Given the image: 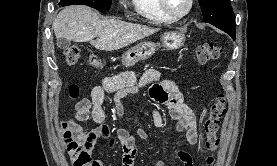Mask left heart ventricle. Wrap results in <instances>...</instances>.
Masks as SVG:
<instances>
[{
  "mask_svg": "<svg viewBox=\"0 0 277 166\" xmlns=\"http://www.w3.org/2000/svg\"><path fill=\"white\" fill-rule=\"evenodd\" d=\"M169 9L176 14L182 13L188 6V0H167Z\"/></svg>",
  "mask_w": 277,
  "mask_h": 166,
  "instance_id": "b2bd125f",
  "label": "left heart ventricle"
}]
</instances>
